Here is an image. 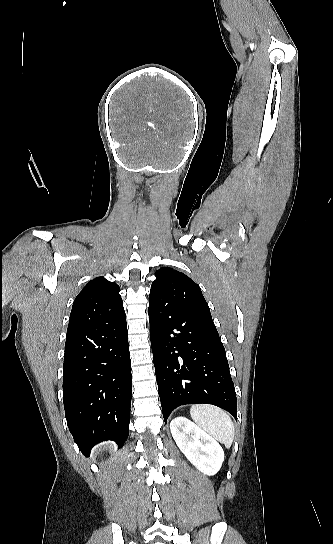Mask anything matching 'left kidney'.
<instances>
[{"label":"left kidney","mask_w":333,"mask_h":544,"mask_svg":"<svg viewBox=\"0 0 333 544\" xmlns=\"http://www.w3.org/2000/svg\"><path fill=\"white\" fill-rule=\"evenodd\" d=\"M170 430L179 449L199 471L212 476L220 470L224 451L212 436L184 417L173 419Z\"/></svg>","instance_id":"obj_1"}]
</instances>
